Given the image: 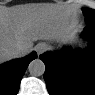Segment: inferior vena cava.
<instances>
[{"label":"inferior vena cava","mask_w":95,"mask_h":95,"mask_svg":"<svg viewBox=\"0 0 95 95\" xmlns=\"http://www.w3.org/2000/svg\"><path fill=\"white\" fill-rule=\"evenodd\" d=\"M12 54L14 55V57H21L22 55H24V48L20 45H17L13 49Z\"/></svg>","instance_id":"602c4592"}]
</instances>
